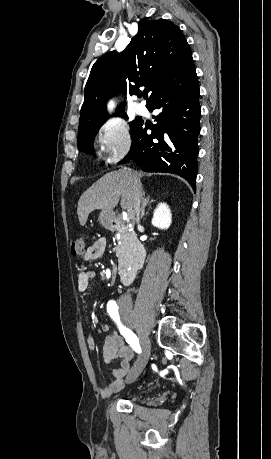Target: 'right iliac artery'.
<instances>
[{"label": "right iliac artery", "instance_id": "1", "mask_svg": "<svg viewBox=\"0 0 271 459\" xmlns=\"http://www.w3.org/2000/svg\"><path fill=\"white\" fill-rule=\"evenodd\" d=\"M107 312L109 313L111 318L117 323L119 331L121 335L125 338L126 342L130 344L133 350H135L137 353H141V347L139 345V340L137 336L129 328L122 325L118 314V306L115 301L111 300L108 302Z\"/></svg>", "mask_w": 271, "mask_h": 459}]
</instances>
